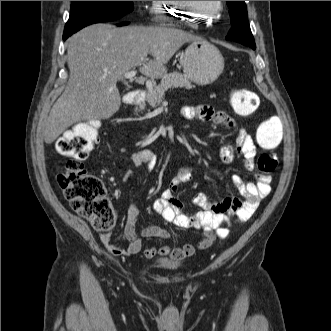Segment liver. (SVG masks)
Instances as JSON below:
<instances>
[{
  "mask_svg": "<svg viewBox=\"0 0 331 331\" xmlns=\"http://www.w3.org/2000/svg\"><path fill=\"white\" fill-rule=\"evenodd\" d=\"M197 40L201 38L165 26L93 24L73 34L67 42L69 80L43 124L45 143L78 121L110 118L120 108L116 84L125 73L139 67L146 77L161 78L179 48Z\"/></svg>",
  "mask_w": 331,
  "mask_h": 331,
  "instance_id": "liver-1",
  "label": "liver"
}]
</instances>
